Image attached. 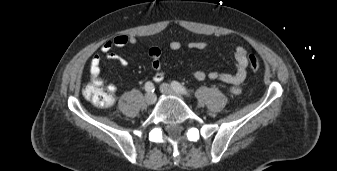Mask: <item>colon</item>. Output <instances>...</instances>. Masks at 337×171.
Wrapping results in <instances>:
<instances>
[{"mask_svg":"<svg viewBox=\"0 0 337 171\" xmlns=\"http://www.w3.org/2000/svg\"><path fill=\"white\" fill-rule=\"evenodd\" d=\"M248 67L251 71L256 72L260 67L258 58L254 54L247 56ZM85 98L100 108H106L114 103V96L107 89L99 78H95L84 90Z\"/></svg>","mask_w":337,"mask_h":171,"instance_id":"obj_1","label":"colon"}]
</instances>
